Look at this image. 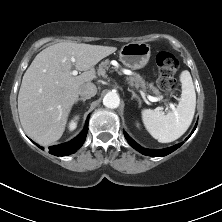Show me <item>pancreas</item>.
Returning <instances> with one entry per match:
<instances>
[{"instance_id": "1", "label": "pancreas", "mask_w": 222, "mask_h": 222, "mask_svg": "<svg viewBox=\"0 0 222 222\" xmlns=\"http://www.w3.org/2000/svg\"><path fill=\"white\" fill-rule=\"evenodd\" d=\"M110 67V60L106 59L99 64L98 67V75H105L106 70ZM117 70V69H116ZM128 81L130 84H134L136 87H141L143 90L149 88L155 95H160L159 90L153 85V83L147 84L142 78L140 77H129Z\"/></svg>"}]
</instances>
